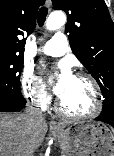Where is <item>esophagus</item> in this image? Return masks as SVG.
<instances>
[{
	"instance_id": "34e87169",
	"label": "esophagus",
	"mask_w": 114,
	"mask_h": 156,
	"mask_svg": "<svg viewBox=\"0 0 114 156\" xmlns=\"http://www.w3.org/2000/svg\"><path fill=\"white\" fill-rule=\"evenodd\" d=\"M46 6L49 11L52 10V1L51 0H46ZM50 126L53 128H60V123L55 121V120H50Z\"/></svg>"
}]
</instances>
